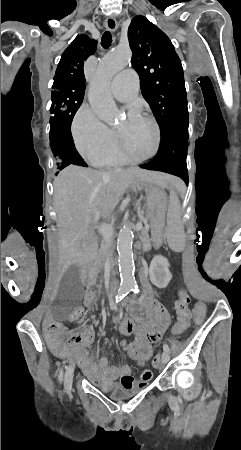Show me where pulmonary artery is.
Masks as SVG:
<instances>
[{
  "label": "pulmonary artery",
  "mask_w": 241,
  "mask_h": 450,
  "mask_svg": "<svg viewBox=\"0 0 241 450\" xmlns=\"http://www.w3.org/2000/svg\"><path fill=\"white\" fill-rule=\"evenodd\" d=\"M138 80L136 69L121 71L120 75L113 78L110 88L113 97L122 103L129 102L133 98L134 92L138 90Z\"/></svg>",
  "instance_id": "1"
}]
</instances>
